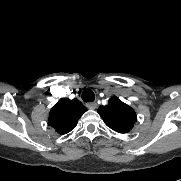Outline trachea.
<instances>
[{"label": "trachea", "instance_id": "trachea-1", "mask_svg": "<svg viewBox=\"0 0 181 181\" xmlns=\"http://www.w3.org/2000/svg\"><path fill=\"white\" fill-rule=\"evenodd\" d=\"M82 100L84 102H92L95 100L94 92L90 89H86L82 93Z\"/></svg>", "mask_w": 181, "mask_h": 181}]
</instances>
